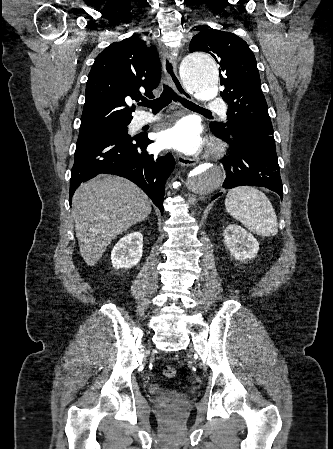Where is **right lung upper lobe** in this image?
Masks as SVG:
<instances>
[{
	"instance_id": "1",
	"label": "right lung upper lobe",
	"mask_w": 333,
	"mask_h": 449,
	"mask_svg": "<svg viewBox=\"0 0 333 449\" xmlns=\"http://www.w3.org/2000/svg\"><path fill=\"white\" fill-rule=\"evenodd\" d=\"M160 62L154 46L137 37L114 42L95 59L88 75L81 128L130 122L128 100H139L140 89L153 97L160 82Z\"/></svg>"
}]
</instances>
